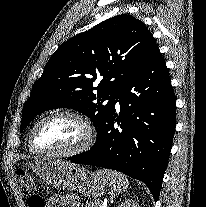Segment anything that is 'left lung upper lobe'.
<instances>
[{"instance_id":"left-lung-upper-lobe-1","label":"left lung upper lobe","mask_w":206,"mask_h":207,"mask_svg":"<svg viewBox=\"0 0 206 207\" xmlns=\"http://www.w3.org/2000/svg\"><path fill=\"white\" fill-rule=\"evenodd\" d=\"M157 47L143 22L127 14L66 41L35 82L23 106L20 132L42 112L71 108L92 120L98 137L113 112L117 92Z\"/></svg>"}]
</instances>
